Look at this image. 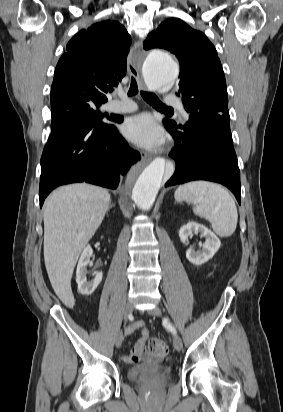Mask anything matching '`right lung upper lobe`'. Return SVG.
I'll list each match as a JSON object with an SVG mask.
<instances>
[{
    "mask_svg": "<svg viewBox=\"0 0 283 412\" xmlns=\"http://www.w3.org/2000/svg\"><path fill=\"white\" fill-rule=\"evenodd\" d=\"M131 37L116 21L81 30L67 44L51 87L52 115L82 101L107 102L106 94L126 74Z\"/></svg>",
    "mask_w": 283,
    "mask_h": 412,
    "instance_id": "cb5924a9",
    "label": "right lung upper lobe"
}]
</instances>
